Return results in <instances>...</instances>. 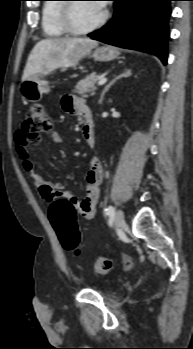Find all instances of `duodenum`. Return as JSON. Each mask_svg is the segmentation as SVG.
Returning <instances> with one entry per match:
<instances>
[{
    "mask_svg": "<svg viewBox=\"0 0 193 349\" xmlns=\"http://www.w3.org/2000/svg\"><path fill=\"white\" fill-rule=\"evenodd\" d=\"M84 115H85V118H86L87 122H88L89 124H91V125H92V120H91V114H90V111H89V110H87V111L84 113Z\"/></svg>",
    "mask_w": 193,
    "mask_h": 349,
    "instance_id": "duodenum-1",
    "label": "duodenum"
}]
</instances>
